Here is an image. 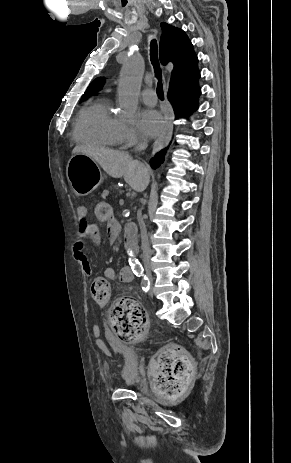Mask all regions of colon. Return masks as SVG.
<instances>
[{
    "label": "colon",
    "mask_w": 291,
    "mask_h": 463,
    "mask_svg": "<svg viewBox=\"0 0 291 463\" xmlns=\"http://www.w3.org/2000/svg\"><path fill=\"white\" fill-rule=\"evenodd\" d=\"M93 216L100 220L112 217V206L99 201L93 207ZM92 299L98 305H107L111 300L110 282L102 277L91 284ZM112 331L126 342L143 339L148 331V320L139 303L130 298H118L110 308ZM192 374V362L187 353L178 347H168L156 358L152 366L153 384L164 397L172 399L182 395Z\"/></svg>",
    "instance_id": "obj_1"
}]
</instances>
